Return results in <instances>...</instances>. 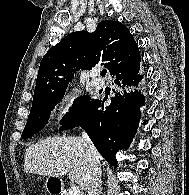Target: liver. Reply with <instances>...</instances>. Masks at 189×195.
I'll return each instance as SVG.
<instances>
[{
  "instance_id": "liver-1",
  "label": "liver",
  "mask_w": 189,
  "mask_h": 195,
  "mask_svg": "<svg viewBox=\"0 0 189 195\" xmlns=\"http://www.w3.org/2000/svg\"><path fill=\"white\" fill-rule=\"evenodd\" d=\"M87 144L82 137H48L29 146L24 171L59 178L68 173L71 182L86 190L89 179ZM101 160V156L99 155Z\"/></svg>"
}]
</instances>
